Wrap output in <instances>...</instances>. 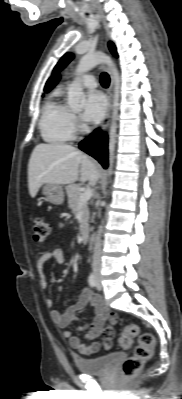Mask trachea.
<instances>
[{
	"label": "trachea",
	"instance_id": "1",
	"mask_svg": "<svg viewBox=\"0 0 182 399\" xmlns=\"http://www.w3.org/2000/svg\"><path fill=\"white\" fill-rule=\"evenodd\" d=\"M100 82L101 85L105 88H107L109 86L110 83V78L109 75L106 72H103L100 76Z\"/></svg>",
	"mask_w": 182,
	"mask_h": 399
}]
</instances>
